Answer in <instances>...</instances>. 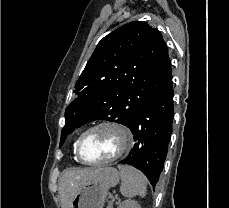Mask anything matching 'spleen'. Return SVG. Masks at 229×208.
Segmentation results:
<instances>
[{"label":"spleen","instance_id":"obj_1","mask_svg":"<svg viewBox=\"0 0 229 208\" xmlns=\"http://www.w3.org/2000/svg\"><path fill=\"white\" fill-rule=\"evenodd\" d=\"M120 170L121 186L120 192L126 198L134 196H146L147 178L142 172L132 166H118Z\"/></svg>","mask_w":229,"mask_h":208}]
</instances>
